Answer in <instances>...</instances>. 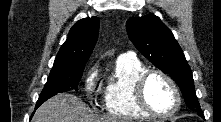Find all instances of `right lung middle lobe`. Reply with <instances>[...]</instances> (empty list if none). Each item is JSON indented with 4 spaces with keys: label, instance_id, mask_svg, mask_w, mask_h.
Segmentation results:
<instances>
[{
    "label": "right lung middle lobe",
    "instance_id": "dd1d6c3e",
    "mask_svg": "<svg viewBox=\"0 0 221 122\" xmlns=\"http://www.w3.org/2000/svg\"><path fill=\"white\" fill-rule=\"evenodd\" d=\"M84 68L85 65L78 67L53 66L36 105H41L47 99L58 93L67 92L69 90L77 91Z\"/></svg>",
    "mask_w": 221,
    "mask_h": 122
}]
</instances>
